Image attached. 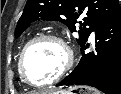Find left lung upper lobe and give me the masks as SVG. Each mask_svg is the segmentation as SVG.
I'll use <instances>...</instances> for the list:
<instances>
[{"mask_svg": "<svg viewBox=\"0 0 121 94\" xmlns=\"http://www.w3.org/2000/svg\"><path fill=\"white\" fill-rule=\"evenodd\" d=\"M120 11L118 0H28L17 23L15 36H20L35 20H60L71 32L79 33L77 42L83 47L92 31ZM83 12L85 15H82ZM78 19L83 22H78ZM76 23L81 25L79 30L76 29Z\"/></svg>", "mask_w": 121, "mask_h": 94, "instance_id": "left-lung-upper-lobe-1", "label": "left lung upper lobe"}]
</instances>
